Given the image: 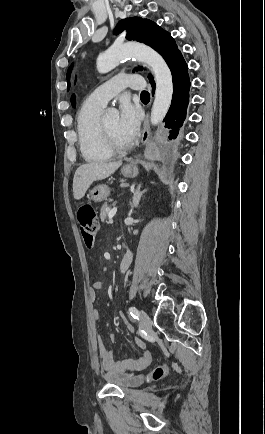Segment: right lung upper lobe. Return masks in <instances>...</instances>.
Here are the masks:
<instances>
[{
  "mask_svg": "<svg viewBox=\"0 0 265 434\" xmlns=\"http://www.w3.org/2000/svg\"><path fill=\"white\" fill-rule=\"evenodd\" d=\"M71 104L73 107H75V96L74 95H72V97H71Z\"/></svg>",
  "mask_w": 265,
  "mask_h": 434,
  "instance_id": "cb5924a9",
  "label": "right lung upper lobe"
}]
</instances>
